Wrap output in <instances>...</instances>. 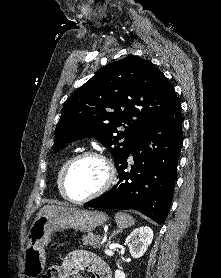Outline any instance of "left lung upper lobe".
<instances>
[{"label":"left lung upper lobe","mask_w":221,"mask_h":278,"mask_svg":"<svg viewBox=\"0 0 221 278\" xmlns=\"http://www.w3.org/2000/svg\"><path fill=\"white\" fill-rule=\"evenodd\" d=\"M177 100L173 86L149 60L128 56L101 68L66 100L53 149L94 137L113 155L116 166Z\"/></svg>","instance_id":"5c2ea615"}]
</instances>
